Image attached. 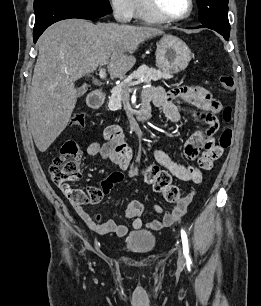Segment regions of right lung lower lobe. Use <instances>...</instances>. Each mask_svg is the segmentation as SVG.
I'll list each match as a JSON object with an SVG mask.
<instances>
[{
    "label": "right lung lower lobe",
    "mask_w": 261,
    "mask_h": 306,
    "mask_svg": "<svg viewBox=\"0 0 261 306\" xmlns=\"http://www.w3.org/2000/svg\"><path fill=\"white\" fill-rule=\"evenodd\" d=\"M34 12V43L47 27L57 21L70 18L96 19L108 13L91 7L48 1H34Z\"/></svg>",
    "instance_id": "right-lung-lower-lobe-1"
}]
</instances>
